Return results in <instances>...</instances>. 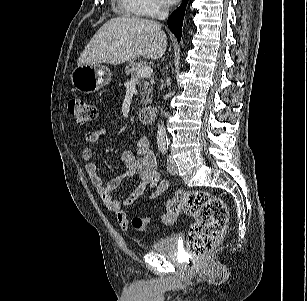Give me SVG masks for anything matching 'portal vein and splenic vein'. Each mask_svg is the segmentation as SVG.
<instances>
[{
    "mask_svg": "<svg viewBox=\"0 0 307 301\" xmlns=\"http://www.w3.org/2000/svg\"><path fill=\"white\" fill-rule=\"evenodd\" d=\"M152 73H153V69L151 67H144L137 71L136 77H134L133 79H137L141 77H145V78L151 77Z\"/></svg>",
    "mask_w": 307,
    "mask_h": 301,
    "instance_id": "1",
    "label": "portal vein and splenic vein"
}]
</instances>
